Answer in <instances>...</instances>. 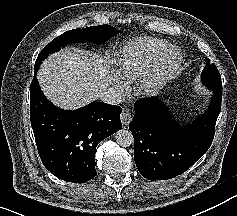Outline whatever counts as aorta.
<instances>
[{"instance_id":"aorta-1","label":"aorta","mask_w":237,"mask_h":216,"mask_svg":"<svg viewBox=\"0 0 237 216\" xmlns=\"http://www.w3.org/2000/svg\"><path fill=\"white\" fill-rule=\"evenodd\" d=\"M116 143L121 147H129L134 143V137L130 130L121 129L115 133Z\"/></svg>"}]
</instances>
